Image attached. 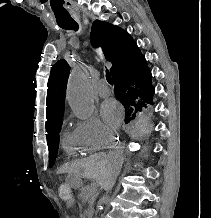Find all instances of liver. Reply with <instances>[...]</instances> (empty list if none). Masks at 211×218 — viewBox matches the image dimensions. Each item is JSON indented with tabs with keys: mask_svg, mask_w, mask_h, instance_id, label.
I'll return each instance as SVG.
<instances>
[{
	"mask_svg": "<svg viewBox=\"0 0 211 218\" xmlns=\"http://www.w3.org/2000/svg\"><path fill=\"white\" fill-rule=\"evenodd\" d=\"M121 154L109 156V154H95L90 158H84L81 162L85 178H93L98 184L107 182L111 172H113V162L120 160Z\"/></svg>",
	"mask_w": 211,
	"mask_h": 218,
	"instance_id": "liver-1",
	"label": "liver"
}]
</instances>
